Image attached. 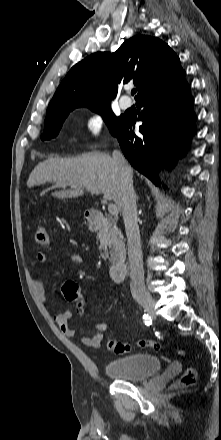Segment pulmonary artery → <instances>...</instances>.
Here are the masks:
<instances>
[{
  "label": "pulmonary artery",
  "instance_id": "e3ab8cb5",
  "mask_svg": "<svg viewBox=\"0 0 221 440\" xmlns=\"http://www.w3.org/2000/svg\"><path fill=\"white\" fill-rule=\"evenodd\" d=\"M120 106L122 109L126 110L129 109L132 106V101L129 97H122L120 99Z\"/></svg>",
  "mask_w": 221,
  "mask_h": 440
}]
</instances>
